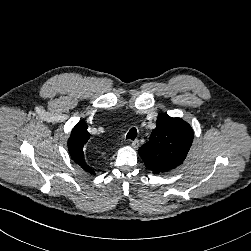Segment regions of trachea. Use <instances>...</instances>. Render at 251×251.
Returning a JSON list of instances; mask_svg holds the SVG:
<instances>
[{"label":"trachea","instance_id":"3493384b","mask_svg":"<svg viewBox=\"0 0 251 251\" xmlns=\"http://www.w3.org/2000/svg\"><path fill=\"white\" fill-rule=\"evenodd\" d=\"M136 136H137V130H136V128H132L128 132V134L126 136V139L134 140L136 138Z\"/></svg>","mask_w":251,"mask_h":251}]
</instances>
